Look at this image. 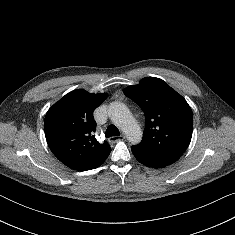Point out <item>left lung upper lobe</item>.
<instances>
[{"mask_svg": "<svg viewBox=\"0 0 235 235\" xmlns=\"http://www.w3.org/2000/svg\"><path fill=\"white\" fill-rule=\"evenodd\" d=\"M123 92L146 117L143 139L136 146L180 157L190 144L193 130V114L186 100L155 77H146Z\"/></svg>", "mask_w": 235, "mask_h": 235, "instance_id": "5c2ea615", "label": "left lung upper lobe"}]
</instances>
